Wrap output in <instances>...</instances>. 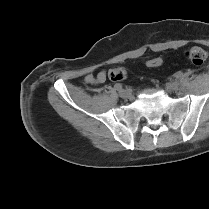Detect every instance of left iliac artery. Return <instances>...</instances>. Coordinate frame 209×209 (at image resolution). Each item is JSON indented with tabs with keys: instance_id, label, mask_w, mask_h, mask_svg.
I'll use <instances>...</instances> for the list:
<instances>
[{
	"instance_id": "left-iliac-artery-1",
	"label": "left iliac artery",
	"mask_w": 209,
	"mask_h": 209,
	"mask_svg": "<svg viewBox=\"0 0 209 209\" xmlns=\"http://www.w3.org/2000/svg\"><path fill=\"white\" fill-rule=\"evenodd\" d=\"M183 78V74L181 72H178L175 76H174V80L176 82H179L181 79Z\"/></svg>"
}]
</instances>
